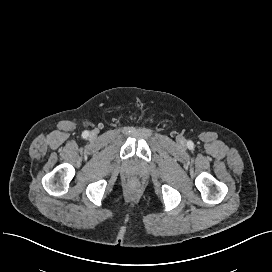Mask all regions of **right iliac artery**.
Here are the masks:
<instances>
[{
  "label": "right iliac artery",
  "mask_w": 272,
  "mask_h": 272,
  "mask_svg": "<svg viewBox=\"0 0 272 272\" xmlns=\"http://www.w3.org/2000/svg\"><path fill=\"white\" fill-rule=\"evenodd\" d=\"M88 135H89V132H88V131H84L83 134H82V136H83L84 138L88 137Z\"/></svg>",
  "instance_id": "obj_1"
}]
</instances>
